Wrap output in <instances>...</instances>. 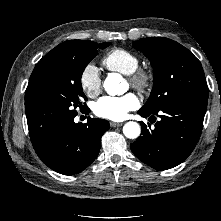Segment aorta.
Here are the masks:
<instances>
[{"instance_id": "1", "label": "aorta", "mask_w": 221, "mask_h": 221, "mask_svg": "<svg viewBox=\"0 0 221 221\" xmlns=\"http://www.w3.org/2000/svg\"><path fill=\"white\" fill-rule=\"evenodd\" d=\"M103 86L105 91L112 96L121 94L126 90L121 75L117 73H110ZM140 133L141 128L137 122L129 121L123 126V134L129 139L138 138Z\"/></svg>"}]
</instances>
